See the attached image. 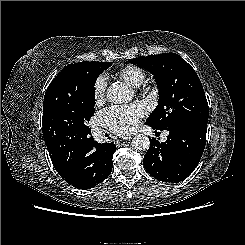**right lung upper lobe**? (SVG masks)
Returning a JSON list of instances; mask_svg holds the SVG:
<instances>
[{"label":"right lung upper lobe","mask_w":245,"mask_h":245,"mask_svg":"<svg viewBox=\"0 0 245 245\" xmlns=\"http://www.w3.org/2000/svg\"><path fill=\"white\" fill-rule=\"evenodd\" d=\"M74 64H69L52 80L43 102V137L45 141L75 132L85 106Z\"/></svg>","instance_id":"1"}]
</instances>
